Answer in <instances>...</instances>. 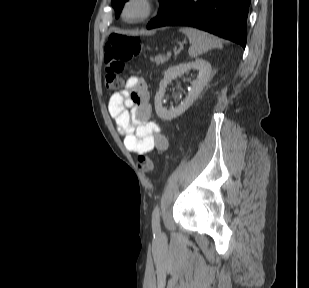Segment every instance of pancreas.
I'll list each match as a JSON object with an SVG mask.
<instances>
[{
	"label": "pancreas",
	"mask_w": 309,
	"mask_h": 288,
	"mask_svg": "<svg viewBox=\"0 0 309 288\" xmlns=\"http://www.w3.org/2000/svg\"><path fill=\"white\" fill-rule=\"evenodd\" d=\"M168 57H165L164 55H158L156 56L152 61L154 63H156L157 65H160V64H163L165 63L166 61H168Z\"/></svg>",
	"instance_id": "cf45deb5"
}]
</instances>
